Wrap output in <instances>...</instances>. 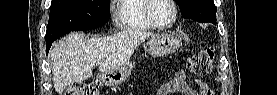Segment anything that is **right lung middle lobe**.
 Segmentation results:
<instances>
[{
    "instance_id": "dd1d6c3e",
    "label": "right lung middle lobe",
    "mask_w": 277,
    "mask_h": 95,
    "mask_svg": "<svg viewBox=\"0 0 277 95\" xmlns=\"http://www.w3.org/2000/svg\"><path fill=\"white\" fill-rule=\"evenodd\" d=\"M110 0H52L46 41L71 31L100 27L110 17Z\"/></svg>"
}]
</instances>
